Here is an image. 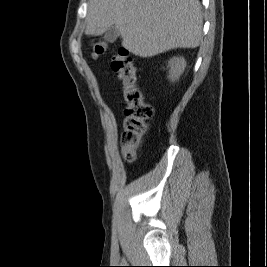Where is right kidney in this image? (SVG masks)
<instances>
[{"label":"right kidney","instance_id":"obj_1","mask_svg":"<svg viewBox=\"0 0 267 267\" xmlns=\"http://www.w3.org/2000/svg\"><path fill=\"white\" fill-rule=\"evenodd\" d=\"M169 79L174 82L179 79L180 75L184 72L186 61L183 57H173L168 63Z\"/></svg>","mask_w":267,"mask_h":267}]
</instances>
